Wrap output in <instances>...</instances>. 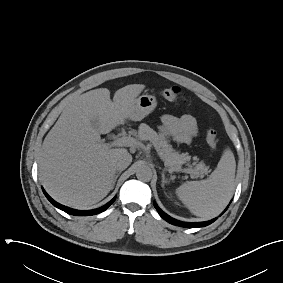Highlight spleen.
I'll list each match as a JSON object with an SVG mask.
<instances>
[{"instance_id":"3e777b00","label":"spleen","mask_w":283,"mask_h":283,"mask_svg":"<svg viewBox=\"0 0 283 283\" xmlns=\"http://www.w3.org/2000/svg\"><path fill=\"white\" fill-rule=\"evenodd\" d=\"M235 170L234 154L226 148L209 178L182 184L176 189V195L194 215L202 218L215 216L233 194Z\"/></svg>"}]
</instances>
